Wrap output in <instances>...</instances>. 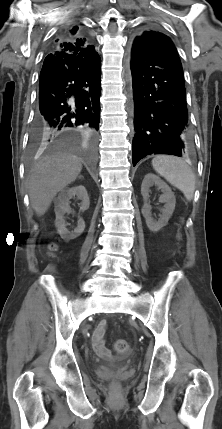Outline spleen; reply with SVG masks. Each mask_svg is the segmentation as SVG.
<instances>
[{"instance_id":"3e777b00","label":"spleen","mask_w":222,"mask_h":429,"mask_svg":"<svg viewBox=\"0 0 222 429\" xmlns=\"http://www.w3.org/2000/svg\"><path fill=\"white\" fill-rule=\"evenodd\" d=\"M152 166L158 174L179 189L188 201L192 200L195 191V175L182 159L158 155L152 160Z\"/></svg>"}]
</instances>
